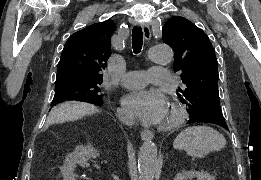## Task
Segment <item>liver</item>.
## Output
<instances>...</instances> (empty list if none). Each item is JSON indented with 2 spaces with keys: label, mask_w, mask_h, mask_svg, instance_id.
Returning a JSON list of instances; mask_svg holds the SVG:
<instances>
[{
  "label": "liver",
  "mask_w": 261,
  "mask_h": 180,
  "mask_svg": "<svg viewBox=\"0 0 261 180\" xmlns=\"http://www.w3.org/2000/svg\"><path fill=\"white\" fill-rule=\"evenodd\" d=\"M70 104H75V102H66V104H61V106H59V108H53L54 112H64V110H67L68 106H70ZM86 108L87 110H89L90 114H92L94 108L93 106H88V104H86Z\"/></svg>",
  "instance_id": "6515ba94"
}]
</instances>
